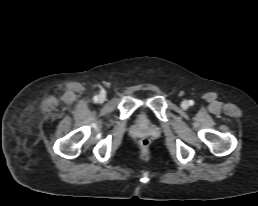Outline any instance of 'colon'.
<instances>
[{"mask_svg":"<svg viewBox=\"0 0 258 206\" xmlns=\"http://www.w3.org/2000/svg\"><path fill=\"white\" fill-rule=\"evenodd\" d=\"M140 145L142 148H147L150 145V139L148 137H144L140 141Z\"/></svg>","mask_w":258,"mask_h":206,"instance_id":"1","label":"colon"}]
</instances>
